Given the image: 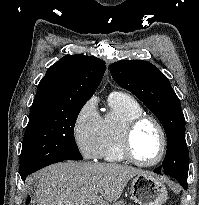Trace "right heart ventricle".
Wrapping results in <instances>:
<instances>
[{
  "instance_id": "right-heart-ventricle-1",
  "label": "right heart ventricle",
  "mask_w": 199,
  "mask_h": 205,
  "mask_svg": "<svg viewBox=\"0 0 199 205\" xmlns=\"http://www.w3.org/2000/svg\"><path fill=\"white\" fill-rule=\"evenodd\" d=\"M144 114L142 106L131 96L115 92L108 98V110L101 118L100 158L109 163H123L120 140L123 128L132 118Z\"/></svg>"
}]
</instances>
